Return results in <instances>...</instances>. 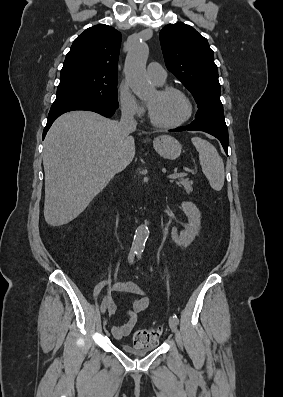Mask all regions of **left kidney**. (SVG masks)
<instances>
[{"label":"left kidney","mask_w":283,"mask_h":397,"mask_svg":"<svg viewBox=\"0 0 283 397\" xmlns=\"http://www.w3.org/2000/svg\"><path fill=\"white\" fill-rule=\"evenodd\" d=\"M182 208L188 218V224L185 225L184 231L177 233L175 228L172 229V240L179 246H188L194 240L200 230L201 213L195 204L191 202H182Z\"/></svg>","instance_id":"left-kidney-1"}]
</instances>
